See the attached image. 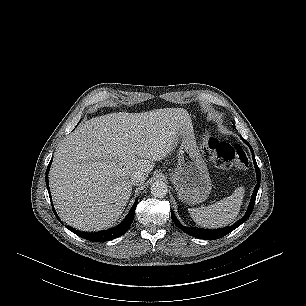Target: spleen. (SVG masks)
I'll list each match as a JSON object with an SVG mask.
<instances>
[{"label":"spleen","instance_id":"spleen-1","mask_svg":"<svg viewBox=\"0 0 306 306\" xmlns=\"http://www.w3.org/2000/svg\"><path fill=\"white\" fill-rule=\"evenodd\" d=\"M245 190L238 187L232 195L207 207L189 208L190 216L201 227L220 228L229 225L238 215Z\"/></svg>","mask_w":306,"mask_h":306}]
</instances>
